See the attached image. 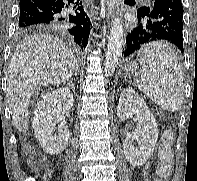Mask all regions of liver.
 Here are the masks:
<instances>
[{"label": "liver", "mask_w": 197, "mask_h": 181, "mask_svg": "<svg viewBox=\"0 0 197 181\" xmlns=\"http://www.w3.org/2000/svg\"><path fill=\"white\" fill-rule=\"evenodd\" d=\"M78 70L71 49L56 37L34 35L17 45L6 75L7 98L18 132L27 130L28 105L36 89L66 83Z\"/></svg>", "instance_id": "1"}]
</instances>
